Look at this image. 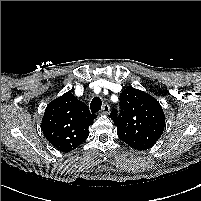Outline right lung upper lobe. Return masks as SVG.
<instances>
[{
  "label": "right lung upper lobe",
  "mask_w": 201,
  "mask_h": 201,
  "mask_svg": "<svg viewBox=\"0 0 201 201\" xmlns=\"http://www.w3.org/2000/svg\"><path fill=\"white\" fill-rule=\"evenodd\" d=\"M96 117L84 102L68 91L48 104L41 128L55 148L69 152L87 139L88 127Z\"/></svg>",
  "instance_id": "cb5924a9"
}]
</instances>
